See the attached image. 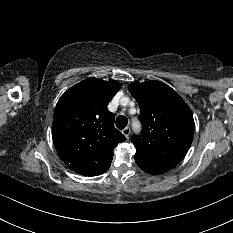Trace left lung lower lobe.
<instances>
[{"mask_svg":"<svg viewBox=\"0 0 233 233\" xmlns=\"http://www.w3.org/2000/svg\"><path fill=\"white\" fill-rule=\"evenodd\" d=\"M135 161L137 165L145 172L149 174H162L169 170V168L163 167L161 165L152 163L150 161H147L145 159H142L141 157L135 155Z\"/></svg>","mask_w":233,"mask_h":233,"instance_id":"0a47b994","label":"left lung lower lobe"}]
</instances>
